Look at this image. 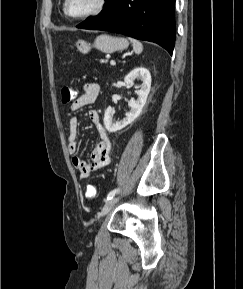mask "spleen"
Masks as SVG:
<instances>
[{
  "instance_id": "1",
  "label": "spleen",
  "mask_w": 243,
  "mask_h": 289,
  "mask_svg": "<svg viewBox=\"0 0 243 289\" xmlns=\"http://www.w3.org/2000/svg\"><path fill=\"white\" fill-rule=\"evenodd\" d=\"M133 45V51L136 53V54H140L142 51H143V45L141 42H139L138 40L136 39H132L130 38L129 39Z\"/></svg>"
}]
</instances>
